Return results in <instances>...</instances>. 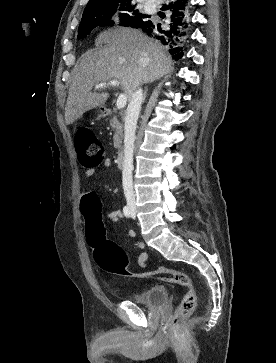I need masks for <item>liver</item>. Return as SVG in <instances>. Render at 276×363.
Wrapping results in <instances>:
<instances>
[{
  "label": "liver",
  "instance_id": "6515ba94",
  "mask_svg": "<svg viewBox=\"0 0 276 363\" xmlns=\"http://www.w3.org/2000/svg\"><path fill=\"white\" fill-rule=\"evenodd\" d=\"M97 43L104 47L86 52L73 70L65 107L67 125L106 102L108 93L92 92L94 85L119 80L130 100L139 86L173 71L172 59L163 46L139 30L109 29L99 34Z\"/></svg>",
  "mask_w": 276,
  "mask_h": 363
}]
</instances>
